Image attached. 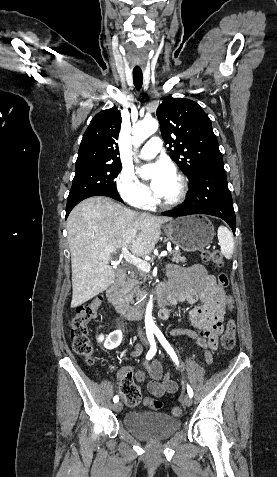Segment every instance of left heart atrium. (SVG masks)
Listing matches in <instances>:
<instances>
[{
  "label": "left heart atrium",
  "instance_id": "1",
  "mask_svg": "<svg viewBox=\"0 0 277 477\" xmlns=\"http://www.w3.org/2000/svg\"><path fill=\"white\" fill-rule=\"evenodd\" d=\"M142 172L150 174V187L158 197H163L175 177L174 169L165 161H158L143 168Z\"/></svg>",
  "mask_w": 277,
  "mask_h": 477
}]
</instances>
